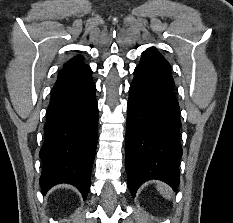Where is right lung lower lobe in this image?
<instances>
[{
    "label": "right lung lower lobe",
    "instance_id": "right-lung-lower-lobe-1",
    "mask_svg": "<svg viewBox=\"0 0 233 223\" xmlns=\"http://www.w3.org/2000/svg\"><path fill=\"white\" fill-rule=\"evenodd\" d=\"M87 64L64 66L52 89L40 150L43 194L58 183L76 186L86 199L94 161L98 107Z\"/></svg>",
    "mask_w": 233,
    "mask_h": 223
}]
</instances>
